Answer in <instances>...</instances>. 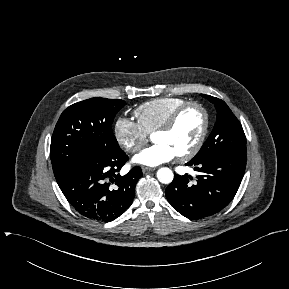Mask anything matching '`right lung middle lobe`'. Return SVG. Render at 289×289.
Wrapping results in <instances>:
<instances>
[{"mask_svg": "<svg viewBox=\"0 0 289 289\" xmlns=\"http://www.w3.org/2000/svg\"><path fill=\"white\" fill-rule=\"evenodd\" d=\"M125 105L119 99L91 98L63 111L55 126L50 147L56 179L89 157L110 158L122 151L111 124Z\"/></svg>", "mask_w": 289, "mask_h": 289, "instance_id": "1", "label": "right lung middle lobe"}]
</instances>
